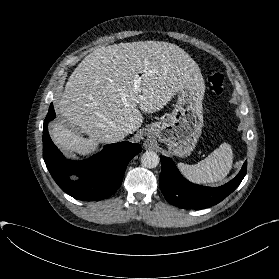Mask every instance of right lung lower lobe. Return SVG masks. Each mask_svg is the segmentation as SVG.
Segmentation results:
<instances>
[{
	"instance_id": "right-lung-lower-lobe-1",
	"label": "right lung lower lobe",
	"mask_w": 279,
	"mask_h": 279,
	"mask_svg": "<svg viewBox=\"0 0 279 279\" xmlns=\"http://www.w3.org/2000/svg\"><path fill=\"white\" fill-rule=\"evenodd\" d=\"M55 118L53 104L43 124V158L47 169L58 186L78 200L99 201L114 194L122 183L130 160L142 151L138 144L128 141L109 144L84 161L66 159L52 142L48 123ZM76 175L79 179H70Z\"/></svg>"
}]
</instances>
